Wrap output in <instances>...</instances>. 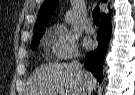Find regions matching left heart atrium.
Returning a JSON list of instances; mask_svg holds the SVG:
<instances>
[{"label": "left heart atrium", "instance_id": "left-heart-atrium-1", "mask_svg": "<svg viewBox=\"0 0 135 95\" xmlns=\"http://www.w3.org/2000/svg\"><path fill=\"white\" fill-rule=\"evenodd\" d=\"M85 47L87 49H91L93 47V42L91 40H86L85 41Z\"/></svg>", "mask_w": 135, "mask_h": 95}]
</instances>
